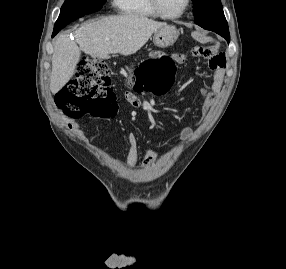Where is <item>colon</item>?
Listing matches in <instances>:
<instances>
[{"mask_svg": "<svg viewBox=\"0 0 286 269\" xmlns=\"http://www.w3.org/2000/svg\"><path fill=\"white\" fill-rule=\"evenodd\" d=\"M205 46L195 47L200 52ZM163 49H150L148 59L136 71L144 90L164 93L174 83L175 61ZM57 105L67 119L84 114L109 118L117 113L115 94L111 89L109 65L101 59L82 58L77 77L67 83L57 96Z\"/></svg>", "mask_w": 286, "mask_h": 269, "instance_id": "obj_1", "label": "colon"}]
</instances>
